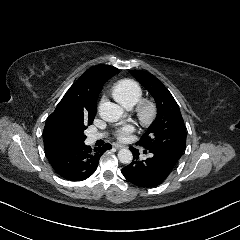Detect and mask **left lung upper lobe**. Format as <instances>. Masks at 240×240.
Instances as JSON below:
<instances>
[{"label": "left lung upper lobe", "mask_w": 240, "mask_h": 240, "mask_svg": "<svg viewBox=\"0 0 240 240\" xmlns=\"http://www.w3.org/2000/svg\"><path fill=\"white\" fill-rule=\"evenodd\" d=\"M130 73L150 92L157 105L155 121L137 144L146 149H160L179 160L186 146V127L178 104L154 75L141 70H131Z\"/></svg>", "instance_id": "5c2ea615"}]
</instances>
